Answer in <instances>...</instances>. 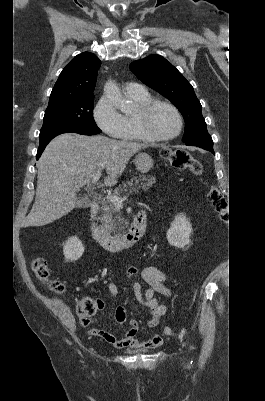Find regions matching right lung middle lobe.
Masks as SVG:
<instances>
[{"mask_svg":"<svg viewBox=\"0 0 265 401\" xmlns=\"http://www.w3.org/2000/svg\"><path fill=\"white\" fill-rule=\"evenodd\" d=\"M93 102L94 95H89L48 106L40 130V142L62 133H101L93 118Z\"/></svg>","mask_w":265,"mask_h":401,"instance_id":"dd1d6c3e","label":"right lung middle lobe"}]
</instances>
